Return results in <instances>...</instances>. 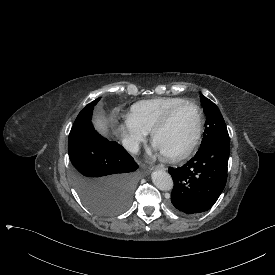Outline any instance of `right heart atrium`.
Listing matches in <instances>:
<instances>
[{
  "label": "right heart atrium",
  "mask_w": 275,
  "mask_h": 275,
  "mask_svg": "<svg viewBox=\"0 0 275 275\" xmlns=\"http://www.w3.org/2000/svg\"><path fill=\"white\" fill-rule=\"evenodd\" d=\"M114 132L132 152L137 151L146 138V132L129 119L115 121Z\"/></svg>",
  "instance_id": "right-heart-atrium-1"
}]
</instances>
